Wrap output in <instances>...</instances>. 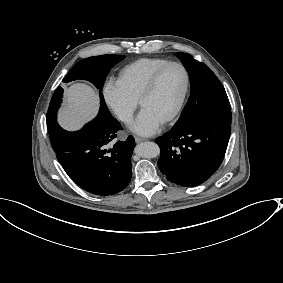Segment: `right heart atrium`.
<instances>
[{
  "label": "right heart atrium",
  "instance_id": "right-heart-atrium-1",
  "mask_svg": "<svg viewBox=\"0 0 283 283\" xmlns=\"http://www.w3.org/2000/svg\"><path fill=\"white\" fill-rule=\"evenodd\" d=\"M102 94L109 109L121 122L128 123L132 119L137 101L126 92L118 79H107Z\"/></svg>",
  "mask_w": 283,
  "mask_h": 283
}]
</instances>
